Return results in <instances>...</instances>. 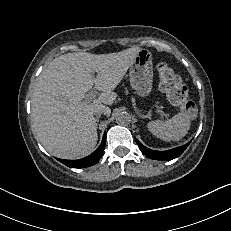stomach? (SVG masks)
<instances>
[{"instance_id":"stomach-1","label":"stomach","mask_w":231,"mask_h":231,"mask_svg":"<svg viewBox=\"0 0 231 231\" xmlns=\"http://www.w3.org/2000/svg\"><path fill=\"white\" fill-rule=\"evenodd\" d=\"M130 85L140 97L148 96L153 87L152 54L147 49H141L129 70Z\"/></svg>"}]
</instances>
